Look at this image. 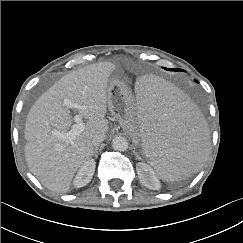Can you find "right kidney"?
Segmentation results:
<instances>
[{"label":"right kidney","mask_w":243,"mask_h":243,"mask_svg":"<svg viewBox=\"0 0 243 243\" xmlns=\"http://www.w3.org/2000/svg\"><path fill=\"white\" fill-rule=\"evenodd\" d=\"M95 161L89 160L87 161L78 171L75 179L73 181V186L76 188L83 187L87 185L95 172Z\"/></svg>","instance_id":"ca27d5eb"}]
</instances>
